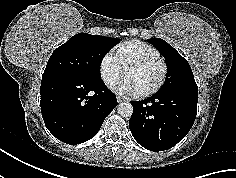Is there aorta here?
Masks as SVG:
<instances>
[{"label":"aorta","instance_id":"1","mask_svg":"<svg viewBox=\"0 0 236 178\" xmlns=\"http://www.w3.org/2000/svg\"><path fill=\"white\" fill-rule=\"evenodd\" d=\"M118 114L122 117H130L133 113V106L131 103H120L117 107Z\"/></svg>","mask_w":236,"mask_h":178}]
</instances>
